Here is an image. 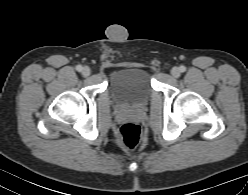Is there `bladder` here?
Returning <instances> with one entry per match:
<instances>
[{"instance_id":"obj_1","label":"bladder","mask_w":248,"mask_h":195,"mask_svg":"<svg viewBox=\"0 0 248 195\" xmlns=\"http://www.w3.org/2000/svg\"><path fill=\"white\" fill-rule=\"evenodd\" d=\"M110 91L114 98L126 105L146 102L152 91L149 72L142 67H121L111 76Z\"/></svg>"}]
</instances>
